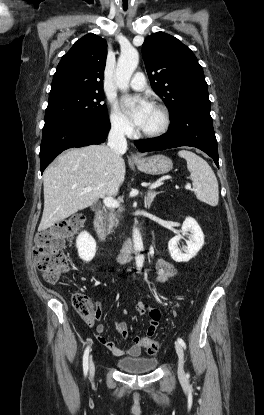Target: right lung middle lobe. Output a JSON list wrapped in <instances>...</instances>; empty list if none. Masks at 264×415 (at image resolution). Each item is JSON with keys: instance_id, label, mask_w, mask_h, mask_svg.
<instances>
[{"instance_id": "dd1d6c3e", "label": "right lung middle lobe", "mask_w": 264, "mask_h": 415, "mask_svg": "<svg viewBox=\"0 0 264 415\" xmlns=\"http://www.w3.org/2000/svg\"><path fill=\"white\" fill-rule=\"evenodd\" d=\"M103 92L67 91L49 96L45 123L67 119L108 117Z\"/></svg>"}]
</instances>
